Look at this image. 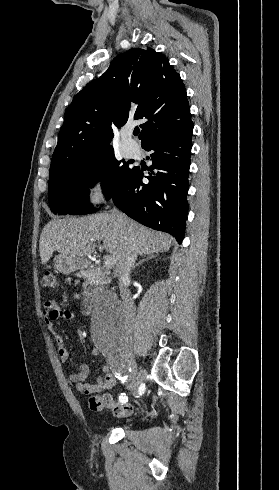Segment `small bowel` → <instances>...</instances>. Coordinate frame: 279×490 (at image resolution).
Here are the masks:
<instances>
[{
  "label": "small bowel",
  "instance_id": "small-bowel-1",
  "mask_svg": "<svg viewBox=\"0 0 279 490\" xmlns=\"http://www.w3.org/2000/svg\"><path fill=\"white\" fill-rule=\"evenodd\" d=\"M42 316L44 324L51 328L54 322L58 320H73L75 314L68 309L61 307L55 301H47L43 305ZM54 340L57 345V351L59 358L62 362H67L70 359V351L66 347L63 338L54 334ZM97 352L94 351V354ZM90 373V369L87 364L79 362L78 371H73L69 374V381L75 385V389L78 393L88 395L96 394L101 391L111 389L115 383L114 377L108 367L103 368V375L99 377L94 383H86L85 380Z\"/></svg>",
  "mask_w": 279,
  "mask_h": 490
}]
</instances>
